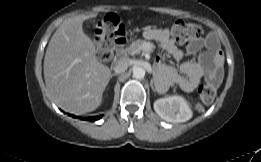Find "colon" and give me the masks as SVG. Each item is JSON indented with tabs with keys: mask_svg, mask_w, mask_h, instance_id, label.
<instances>
[{
	"mask_svg": "<svg viewBox=\"0 0 261 162\" xmlns=\"http://www.w3.org/2000/svg\"><path fill=\"white\" fill-rule=\"evenodd\" d=\"M95 39L97 41V55L102 60H110L113 57V47L116 44L124 43L126 30L115 13H108L95 24ZM173 39L181 44H188L198 39L202 34V28L190 21L178 19L170 27ZM216 94V84L207 80L199 87V101L196 104L198 111L203 106L210 104Z\"/></svg>",
	"mask_w": 261,
	"mask_h": 162,
	"instance_id": "5ec220e1",
	"label": "colon"
}]
</instances>
